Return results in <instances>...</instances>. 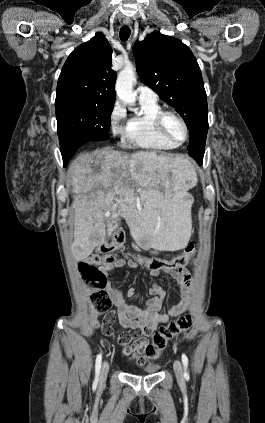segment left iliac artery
<instances>
[{
    "label": "left iliac artery",
    "instance_id": "obj_1",
    "mask_svg": "<svg viewBox=\"0 0 265 423\" xmlns=\"http://www.w3.org/2000/svg\"><path fill=\"white\" fill-rule=\"evenodd\" d=\"M182 363H183V366H184V377L189 378V374L187 372L188 358L185 354H182Z\"/></svg>",
    "mask_w": 265,
    "mask_h": 423
}]
</instances>
